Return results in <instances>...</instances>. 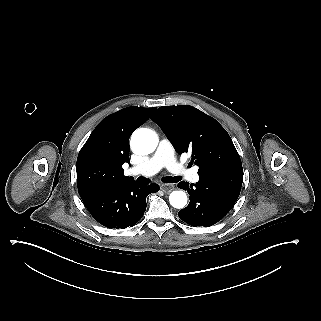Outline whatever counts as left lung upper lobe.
I'll return each instance as SVG.
<instances>
[{"label":"left lung upper lobe","instance_id":"obj_1","mask_svg":"<svg viewBox=\"0 0 321 321\" xmlns=\"http://www.w3.org/2000/svg\"><path fill=\"white\" fill-rule=\"evenodd\" d=\"M151 120L179 153L190 151L198 175L223 168H241L240 156L226 130L212 117L185 105L163 106Z\"/></svg>","mask_w":321,"mask_h":321}]
</instances>
